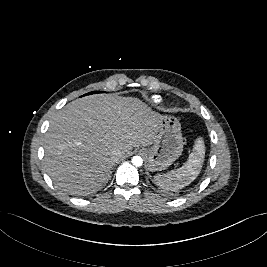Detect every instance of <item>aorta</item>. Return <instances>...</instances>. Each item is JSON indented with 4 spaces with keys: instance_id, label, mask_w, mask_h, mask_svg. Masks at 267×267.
<instances>
[{
    "instance_id": "aorta-1",
    "label": "aorta",
    "mask_w": 267,
    "mask_h": 267,
    "mask_svg": "<svg viewBox=\"0 0 267 267\" xmlns=\"http://www.w3.org/2000/svg\"><path fill=\"white\" fill-rule=\"evenodd\" d=\"M132 164L136 167H140L143 164V159L140 156H133Z\"/></svg>"
}]
</instances>
